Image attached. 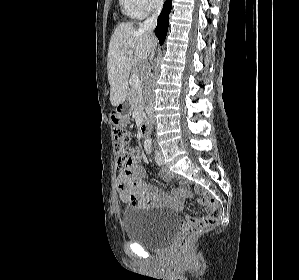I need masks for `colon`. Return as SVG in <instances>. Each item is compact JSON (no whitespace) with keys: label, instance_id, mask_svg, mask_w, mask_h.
Listing matches in <instances>:
<instances>
[{"label":"colon","instance_id":"1","mask_svg":"<svg viewBox=\"0 0 299 280\" xmlns=\"http://www.w3.org/2000/svg\"><path fill=\"white\" fill-rule=\"evenodd\" d=\"M129 133L123 128L114 129V142L116 147V156L119 167H128L131 163V157L127 150ZM219 217L217 208L206 216L201 218H188L180 234V243L186 246L194 237L207 227L213 225Z\"/></svg>","mask_w":299,"mask_h":280}]
</instances>
